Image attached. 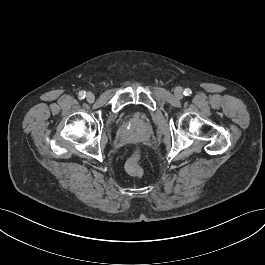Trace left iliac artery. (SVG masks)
Segmentation results:
<instances>
[{
    "label": "left iliac artery",
    "mask_w": 265,
    "mask_h": 265,
    "mask_svg": "<svg viewBox=\"0 0 265 265\" xmlns=\"http://www.w3.org/2000/svg\"><path fill=\"white\" fill-rule=\"evenodd\" d=\"M191 93H192V91H191V89H189V88H186V89L184 90V95H185V96L190 95Z\"/></svg>",
    "instance_id": "1"
}]
</instances>
